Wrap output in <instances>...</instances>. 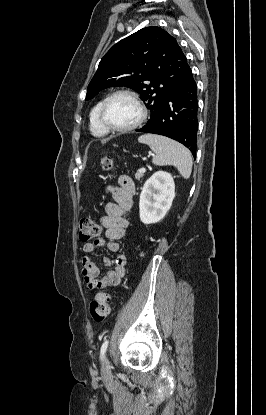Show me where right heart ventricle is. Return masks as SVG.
Listing matches in <instances>:
<instances>
[{
    "instance_id": "1",
    "label": "right heart ventricle",
    "mask_w": 266,
    "mask_h": 415,
    "mask_svg": "<svg viewBox=\"0 0 266 415\" xmlns=\"http://www.w3.org/2000/svg\"><path fill=\"white\" fill-rule=\"evenodd\" d=\"M104 101V98L98 100L95 105L92 107L89 114V128L92 135L96 137H103L108 134V131L102 126L99 120V113L101 105Z\"/></svg>"
}]
</instances>
